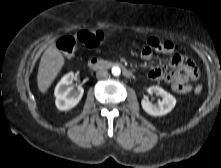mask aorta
<instances>
[{"instance_id":"762f6f07","label":"aorta","mask_w":221,"mask_h":168,"mask_svg":"<svg viewBox=\"0 0 221 168\" xmlns=\"http://www.w3.org/2000/svg\"><path fill=\"white\" fill-rule=\"evenodd\" d=\"M120 73H121L120 67H118V66L112 67V74H113L114 76H119Z\"/></svg>"}]
</instances>
